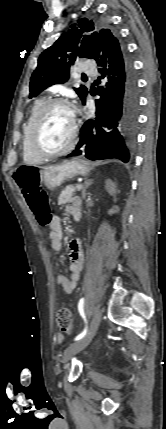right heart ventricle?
Instances as JSON below:
<instances>
[{
  "instance_id": "obj_1",
  "label": "right heart ventricle",
  "mask_w": 166,
  "mask_h": 429,
  "mask_svg": "<svg viewBox=\"0 0 166 429\" xmlns=\"http://www.w3.org/2000/svg\"><path fill=\"white\" fill-rule=\"evenodd\" d=\"M44 103H45V100L43 98H39L34 102L32 109L30 111L29 117H28V119L24 125V128H23L22 156H23L24 162H26L28 164H38V163H41L43 161L42 158L33 154L31 152V150L29 149L28 135H29L31 124H32L36 114L38 113V111L40 110V108L42 107V105Z\"/></svg>"
}]
</instances>
